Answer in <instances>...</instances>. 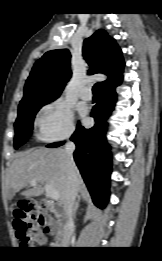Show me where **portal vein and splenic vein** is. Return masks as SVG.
I'll list each match as a JSON object with an SVG mask.
<instances>
[{
  "label": "portal vein and splenic vein",
  "mask_w": 162,
  "mask_h": 261,
  "mask_svg": "<svg viewBox=\"0 0 162 261\" xmlns=\"http://www.w3.org/2000/svg\"><path fill=\"white\" fill-rule=\"evenodd\" d=\"M30 184L31 186H36L37 180L36 179L30 180ZM44 189L47 196H49L52 200L59 199V192L55 190L52 186H50L49 184H44Z\"/></svg>",
  "instance_id": "obj_1"
}]
</instances>
